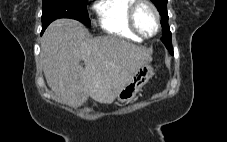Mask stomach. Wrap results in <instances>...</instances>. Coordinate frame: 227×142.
<instances>
[{"mask_svg":"<svg viewBox=\"0 0 227 142\" xmlns=\"http://www.w3.org/2000/svg\"><path fill=\"white\" fill-rule=\"evenodd\" d=\"M152 76L153 68L151 66L147 64L141 66L126 86L119 92L117 100L121 103L130 102Z\"/></svg>","mask_w":227,"mask_h":142,"instance_id":"obj_1","label":"stomach"}]
</instances>
